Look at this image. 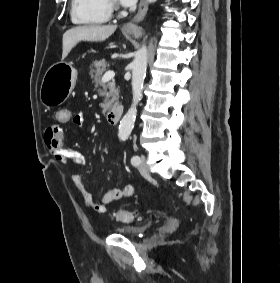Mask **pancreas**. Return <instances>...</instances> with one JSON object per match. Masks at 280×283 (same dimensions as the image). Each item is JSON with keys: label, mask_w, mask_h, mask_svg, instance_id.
<instances>
[{"label": "pancreas", "mask_w": 280, "mask_h": 283, "mask_svg": "<svg viewBox=\"0 0 280 283\" xmlns=\"http://www.w3.org/2000/svg\"><path fill=\"white\" fill-rule=\"evenodd\" d=\"M109 64L104 60H96L90 66V76L95 84V89L102 86L104 103L102 104L103 113L109 110L112 106H116L119 101V90L116 89L115 81L102 82V75L106 71Z\"/></svg>", "instance_id": "obj_1"}]
</instances>
